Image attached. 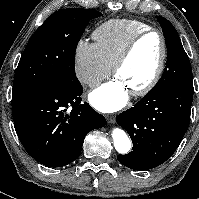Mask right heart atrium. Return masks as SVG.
Wrapping results in <instances>:
<instances>
[{
	"mask_svg": "<svg viewBox=\"0 0 199 199\" xmlns=\"http://www.w3.org/2000/svg\"><path fill=\"white\" fill-rule=\"evenodd\" d=\"M75 75L79 82L96 87L111 73V65L100 53L95 43L80 40L76 44Z\"/></svg>",
	"mask_w": 199,
	"mask_h": 199,
	"instance_id": "obj_1",
	"label": "right heart atrium"
}]
</instances>
